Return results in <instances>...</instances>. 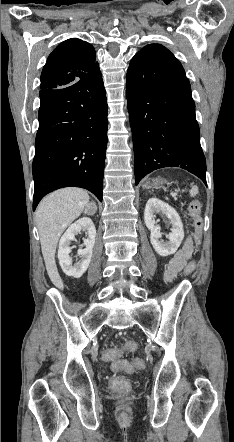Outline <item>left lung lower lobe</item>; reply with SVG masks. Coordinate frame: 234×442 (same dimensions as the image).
<instances>
[{"mask_svg": "<svg viewBox=\"0 0 234 442\" xmlns=\"http://www.w3.org/2000/svg\"><path fill=\"white\" fill-rule=\"evenodd\" d=\"M126 93L135 184L163 167H181L206 183V161L189 80L177 59L136 54Z\"/></svg>", "mask_w": 234, "mask_h": 442, "instance_id": "1", "label": "left lung lower lobe"}]
</instances>
